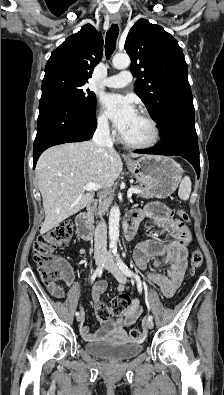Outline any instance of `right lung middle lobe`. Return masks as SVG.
Instances as JSON below:
<instances>
[{"mask_svg":"<svg viewBox=\"0 0 224 395\" xmlns=\"http://www.w3.org/2000/svg\"><path fill=\"white\" fill-rule=\"evenodd\" d=\"M86 82L60 73L46 75L42 83V94H53L77 108L92 110L96 107V96L84 87Z\"/></svg>","mask_w":224,"mask_h":395,"instance_id":"1","label":"right lung middle lobe"}]
</instances>
